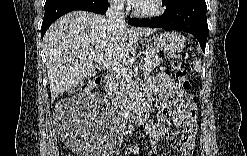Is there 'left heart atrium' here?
<instances>
[{
    "instance_id": "obj_1",
    "label": "left heart atrium",
    "mask_w": 247,
    "mask_h": 156,
    "mask_svg": "<svg viewBox=\"0 0 247 156\" xmlns=\"http://www.w3.org/2000/svg\"><path fill=\"white\" fill-rule=\"evenodd\" d=\"M141 1L139 0H130L129 3L132 5H137L138 3H140Z\"/></svg>"
}]
</instances>
